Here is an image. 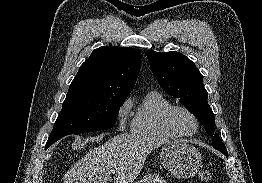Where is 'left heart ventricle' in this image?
I'll return each mask as SVG.
<instances>
[{"label":"left heart ventricle","instance_id":"left-heart-ventricle-1","mask_svg":"<svg viewBox=\"0 0 262 183\" xmlns=\"http://www.w3.org/2000/svg\"><path fill=\"white\" fill-rule=\"evenodd\" d=\"M174 122L182 132L191 133L195 129V121L184 111H178L175 113Z\"/></svg>","mask_w":262,"mask_h":183}]
</instances>
